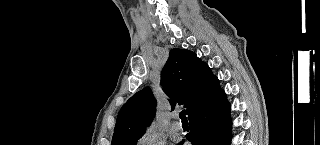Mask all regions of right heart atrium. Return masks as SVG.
Masks as SVG:
<instances>
[{
	"mask_svg": "<svg viewBox=\"0 0 320 145\" xmlns=\"http://www.w3.org/2000/svg\"><path fill=\"white\" fill-rule=\"evenodd\" d=\"M139 145H164V140H161L154 134H146L138 140Z\"/></svg>",
	"mask_w": 320,
	"mask_h": 145,
	"instance_id": "right-heart-atrium-1",
	"label": "right heart atrium"
}]
</instances>
